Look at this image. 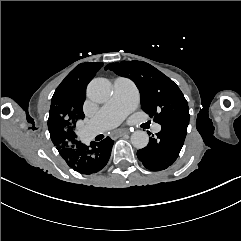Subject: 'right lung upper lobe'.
<instances>
[{"instance_id": "obj_1", "label": "right lung upper lobe", "mask_w": 241, "mask_h": 241, "mask_svg": "<svg viewBox=\"0 0 241 241\" xmlns=\"http://www.w3.org/2000/svg\"><path fill=\"white\" fill-rule=\"evenodd\" d=\"M86 94L81 98L75 113L72 116H63L50 110L48 118V129L53 144L56 147L70 145L76 141L77 135L74 132L76 122L85 117L83 103Z\"/></svg>"}]
</instances>
